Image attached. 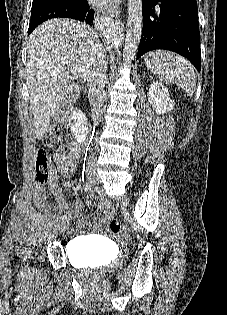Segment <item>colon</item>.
<instances>
[{"instance_id": "1", "label": "colon", "mask_w": 227, "mask_h": 315, "mask_svg": "<svg viewBox=\"0 0 227 315\" xmlns=\"http://www.w3.org/2000/svg\"><path fill=\"white\" fill-rule=\"evenodd\" d=\"M47 148L66 152L69 145V132L63 125H54L50 127L47 135L43 140ZM52 173V167L47 152L39 148L35 153V168L33 173L34 180L39 184H44L48 181ZM110 229L113 233L127 236L130 234L129 230L119 221L112 219L110 221Z\"/></svg>"}]
</instances>
